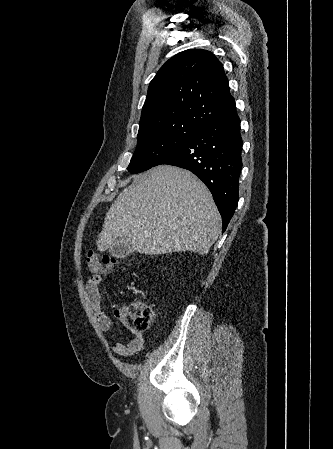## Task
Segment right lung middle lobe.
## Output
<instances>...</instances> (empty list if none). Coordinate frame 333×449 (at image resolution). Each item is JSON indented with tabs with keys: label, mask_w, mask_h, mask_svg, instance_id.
<instances>
[{
	"label": "right lung middle lobe",
	"mask_w": 333,
	"mask_h": 449,
	"mask_svg": "<svg viewBox=\"0 0 333 449\" xmlns=\"http://www.w3.org/2000/svg\"><path fill=\"white\" fill-rule=\"evenodd\" d=\"M200 128L187 122L170 123L138 134L137 148L127 169L139 173L156 166Z\"/></svg>",
	"instance_id": "right-lung-middle-lobe-1"
}]
</instances>
